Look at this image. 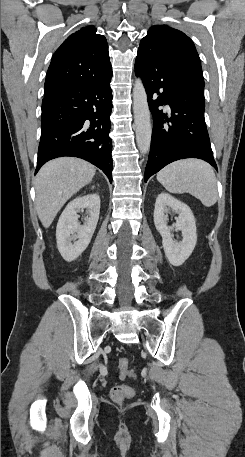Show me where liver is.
Returning <instances> with one entry per match:
<instances>
[{
	"label": "liver",
	"instance_id": "obj_1",
	"mask_svg": "<svg viewBox=\"0 0 245 457\" xmlns=\"http://www.w3.org/2000/svg\"><path fill=\"white\" fill-rule=\"evenodd\" d=\"M95 172L93 164L73 156L54 158L40 168L36 178V208L45 229L66 200L91 182Z\"/></svg>",
	"mask_w": 245,
	"mask_h": 457
}]
</instances>
